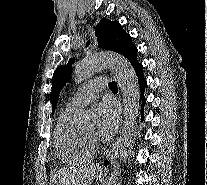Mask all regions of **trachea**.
Segmentation results:
<instances>
[{"instance_id": "1", "label": "trachea", "mask_w": 207, "mask_h": 185, "mask_svg": "<svg viewBox=\"0 0 207 185\" xmlns=\"http://www.w3.org/2000/svg\"><path fill=\"white\" fill-rule=\"evenodd\" d=\"M109 88H110V90H118L116 82H110Z\"/></svg>"}]
</instances>
